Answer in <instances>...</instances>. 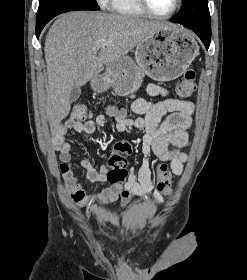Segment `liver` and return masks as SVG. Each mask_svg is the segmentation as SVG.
Instances as JSON below:
<instances>
[{
    "instance_id": "liver-1",
    "label": "liver",
    "mask_w": 247,
    "mask_h": 280,
    "mask_svg": "<svg viewBox=\"0 0 247 280\" xmlns=\"http://www.w3.org/2000/svg\"><path fill=\"white\" fill-rule=\"evenodd\" d=\"M167 22L103 12L75 11L61 15L45 40L48 87L47 116L51 132L70 112V92L96 77L104 65L125 56ZM97 44H102L100 51Z\"/></svg>"
}]
</instances>
